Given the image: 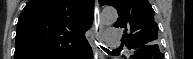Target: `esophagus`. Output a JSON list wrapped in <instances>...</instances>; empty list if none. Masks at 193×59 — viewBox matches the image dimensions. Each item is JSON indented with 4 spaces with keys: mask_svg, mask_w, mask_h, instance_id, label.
<instances>
[{
    "mask_svg": "<svg viewBox=\"0 0 193 59\" xmlns=\"http://www.w3.org/2000/svg\"><path fill=\"white\" fill-rule=\"evenodd\" d=\"M104 24L100 19V9H99V2L95 1V9H94V35H92V47L94 53V59H100L101 54L97 48L98 40L100 37L101 32L103 31Z\"/></svg>",
    "mask_w": 193,
    "mask_h": 59,
    "instance_id": "esophagus-1",
    "label": "esophagus"
}]
</instances>
